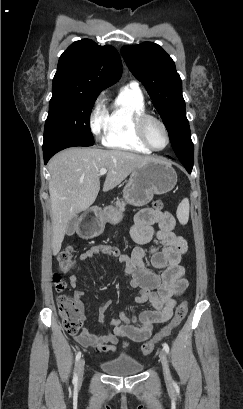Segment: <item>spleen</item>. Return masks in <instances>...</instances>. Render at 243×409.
Here are the masks:
<instances>
[{"mask_svg":"<svg viewBox=\"0 0 243 409\" xmlns=\"http://www.w3.org/2000/svg\"><path fill=\"white\" fill-rule=\"evenodd\" d=\"M177 218L181 224H186L189 220V200L184 198L177 207Z\"/></svg>","mask_w":243,"mask_h":409,"instance_id":"1","label":"spleen"}]
</instances>
